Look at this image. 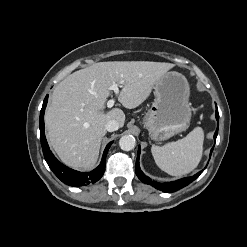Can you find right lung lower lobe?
Here are the masks:
<instances>
[{
  "instance_id": "1",
  "label": "right lung lower lobe",
  "mask_w": 247,
  "mask_h": 247,
  "mask_svg": "<svg viewBox=\"0 0 247 247\" xmlns=\"http://www.w3.org/2000/svg\"><path fill=\"white\" fill-rule=\"evenodd\" d=\"M47 101H48V95L45 97L43 101V106L40 113L39 128H40V140H41L44 158L47 164L49 165L50 169L63 183L70 186H81V185H87L90 183L97 182L104 174L105 160L112 142H110L106 146L100 165L91 172L88 173L78 172L66 167L54 157L46 141L45 132H44V113H45V107L47 105Z\"/></svg>"
}]
</instances>
